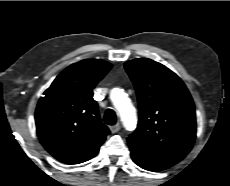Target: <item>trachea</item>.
Masks as SVG:
<instances>
[{
    "instance_id": "trachea-1",
    "label": "trachea",
    "mask_w": 230,
    "mask_h": 186,
    "mask_svg": "<svg viewBox=\"0 0 230 186\" xmlns=\"http://www.w3.org/2000/svg\"><path fill=\"white\" fill-rule=\"evenodd\" d=\"M103 120L108 125H114L117 120L116 113L112 109H107Z\"/></svg>"
}]
</instances>
